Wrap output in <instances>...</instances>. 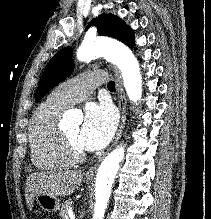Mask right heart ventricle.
Masks as SVG:
<instances>
[{"label":"right heart ventricle","mask_w":211,"mask_h":219,"mask_svg":"<svg viewBox=\"0 0 211 219\" xmlns=\"http://www.w3.org/2000/svg\"><path fill=\"white\" fill-rule=\"evenodd\" d=\"M66 108L49 98L33 113L29 126L32 163L41 170H59L73 166L62 147L58 120Z\"/></svg>","instance_id":"obj_1"}]
</instances>
